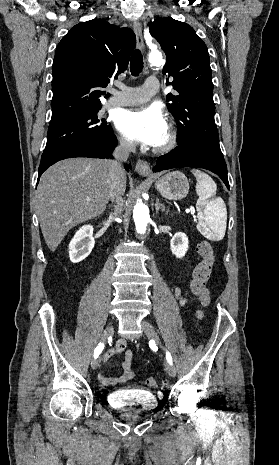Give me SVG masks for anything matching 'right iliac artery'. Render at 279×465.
<instances>
[{
	"label": "right iliac artery",
	"instance_id": "1",
	"mask_svg": "<svg viewBox=\"0 0 279 465\" xmlns=\"http://www.w3.org/2000/svg\"><path fill=\"white\" fill-rule=\"evenodd\" d=\"M103 348H104V344L99 343L98 346L96 347L95 351H94V358H97L99 356V354L102 352Z\"/></svg>",
	"mask_w": 279,
	"mask_h": 465
}]
</instances>
